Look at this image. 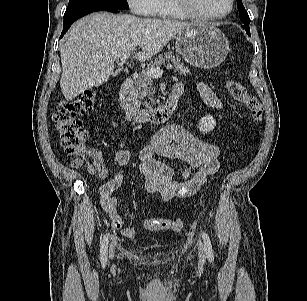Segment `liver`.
Returning <instances> with one entry per match:
<instances>
[{"instance_id": "1", "label": "liver", "mask_w": 307, "mask_h": 301, "mask_svg": "<svg viewBox=\"0 0 307 301\" xmlns=\"http://www.w3.org/2000/svg\"><path fill=\"white\" fill-rule=\"evenodd\" d=\"M192 25L102 12L76 21L60 47L63 95L70 101L106 83L113 73L114 61L124 53H132L141 62L151 59L177 33ZM137 46L141 51L135 53Z\"/></svg>"}]
</instances>
